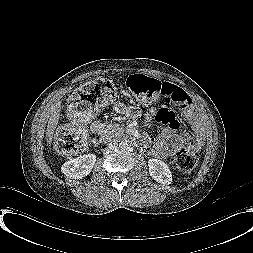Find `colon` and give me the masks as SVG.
<instances>
[{
	"label": "colon",
	"instance_id": "obj_1",
	"mask_svg": "<svg viewBox=\"0 0 253 253\" xmlns=\"http://www.w3.org/2000/svg\"><path fill=\"white\" fill-rule=\"evenodd\" d=\"M128 89L142 103L175 102L177 87L154 77L134 74L128 78ZM118 97V86L111 80L99 79L79 87L69 99L67 113L71 121L61 125L56 133L55 150L71 156L85 150L88 137L81 124L102 106ZM197 154L181 149L175 155V165L182 173H190L197 165Z\"/></svg>",
	"mask_w": 253,
	"mask_h": 253
}]
</instances>
